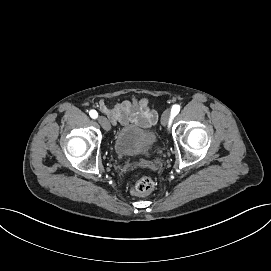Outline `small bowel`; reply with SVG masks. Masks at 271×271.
Here are the masks:
<instances>
[{"instance_id":"1","label":"small bowel","mask_w":271,"mask_h":271,"mask_svg":"<svg viewBox=\"0 0 271 271\" xmlns=\"http://www.w3.org/2000/svg\"><path fill=\"white\" fill-rule=\"evenodd\" d=\"M99 109L112 124L118 126L132 122L143 128H149L156 124L158 118L157 113L149 107L147 99L124 100L112 106L102 100Z\"/></svg>"}]
</instances>
